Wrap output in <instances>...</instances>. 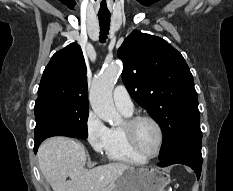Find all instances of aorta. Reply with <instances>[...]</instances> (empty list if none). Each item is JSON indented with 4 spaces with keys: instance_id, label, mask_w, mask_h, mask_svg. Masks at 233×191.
<instances>
[{
    "instance_id": "1",
    "label": "aorta",
    "mask_w": 233,
    "mask_h": 191,
    "mask_svg": "<svg viewBox=\"0 0 233 191\" xmlns=\"http://www.w3.org/2000/svg\"><path fill=\"white\" fill-rule=\"evenodd\" d=\"M121 70L120 62L106 66L102 73L93 80L89 95L94 113L111 125H118L121 122V116L116 111L112 99V91Z\"/></svg>"
}]
</instances>
